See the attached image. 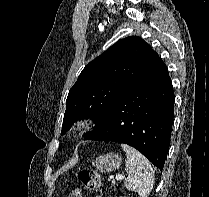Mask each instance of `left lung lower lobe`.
I'll list each match as a JSON object with an SVG mask.
<instances>
[{"mask_svg": "<svg viewBox=\"0 0 209 197\" xmlns=\"http://www.w3.org/2000/svg\"><path fill=\"white\" fill-rule=\"evenodd\" d=\"M174 91L160 57L145 76L120 96L84 140L128 144L163 169L174 117Z\"/></svg>", "mask_w": 209, "mask_h": 197, "instance_id": "0a47b994", "label": "left lung lower lobe"}]
</instances>
